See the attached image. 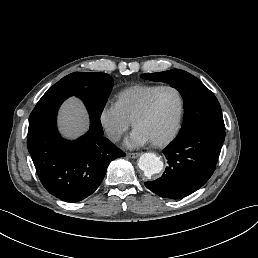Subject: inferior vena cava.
I'll return each instance as SVG.
<instances>
[{
  "label": "inferior vena cava",
  "instance_id": "1",
  "mask_svg": "<svg viewBox=\"0 0 258 258\" xmlns=\"http://www.w3.org/2000/svg\"><path fill=\"white\" fill-rule=\"evenodd\" d=\"M106 133L109 139L112 141H119L121 139V135L117 132H115L113 129H106Z\"/></svg>",
  "mask_w": 258,
  "mask_h": 258
}]
</instances>
